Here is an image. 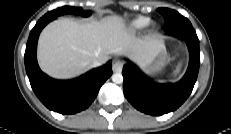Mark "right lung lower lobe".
Masks as SVG:
<instances>
[{
  "label": "right lung lower lobe",
  "instance_id": "right-lung-lower-lobe-1",
  "mask_svg": "<svg viewBox=\"0 0 231 134\" xmlns=\"http://www.w3.org/2000/svg\"><path fill=\"white\" fill-rule=\"evenodd\" d=\"M54 19L42 17L31 30L24 56L25 68L33 91L47 108L61 114H74L94 101L112 74V63L109 61L71 80H56L44 74L36 59L37 41L44 26Z\"/></svg>",
  "mask_w": 231,
  "mask_h": 134
}]
</instances>
